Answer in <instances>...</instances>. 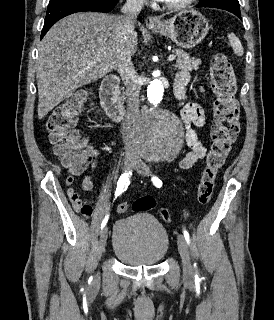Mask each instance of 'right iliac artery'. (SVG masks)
<instances>
[{
	"mask_svg": "<svg viewBox=\"0 0 274 320\" xmlns=\"http://www.w3.org/2000/svg\"><path fill=\"white\" fill-rule=\"evenodd\" d=\"M131 174V172L129 173H124L120 176L118 182H117V188H116V192H115V198H117L122 192H124L127 188H128V185L130 183L129 181V175ZM108 218H109V215L107 214L105 216V218L103 219L102 221V224H101V229H103L105 227V225L107 224L108 222Z\"/></svg>",
	"mask_w": 274,
	"mask_h": 320,
	"instance_id": "right-iliac-artery-1",
	"label": "right iliac artery"
}]
</instances>
